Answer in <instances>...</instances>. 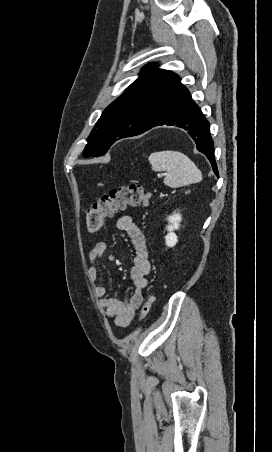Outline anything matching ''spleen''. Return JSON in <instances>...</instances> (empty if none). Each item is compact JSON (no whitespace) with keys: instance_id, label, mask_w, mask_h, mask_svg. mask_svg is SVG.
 Masks as SVG:
<instances>
[{"instance_id":"1","label":"spleen","mask_w":272,"mask_h":452,"mask_svg":"<svg viewBox=\"0 0 272 452\" xmlns=\"http://www.w3.org/2000/svg\"><path fill=\"white\" fill-rule=\"evenodd\" d=\"M154 171H166L164 184L169 187H180L202 180V173L192 160L178 151L154 152L149 156Z\"/></svg>"}]
</instances>
